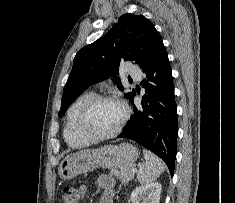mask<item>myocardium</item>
<instances>
[{
  "label": "myocardium",
  "mask_w": 235,
  "mask_h": 203,
  "mask_svg": "<svg viewBox=\"0 0 235 203\" xmlns=\"http://www.w3.org/2000/svg\"><path fill=\"white\" fill-rule=\"evenodd\" d=\"M103 101H112V102H117L121 105L122 109H123V116L119 122V124L117 125V127L112 130L109 133H105V134H96L91 132L90 130L87 129L86 127V122L89 116V113L91 112V110L94 108V106H96L98 103L103 102ZM130 117V109L128 107V105L121 99L114 97L112 95H95L93 96L91 99H89L84 106L82 107V109L80 110L79 114H78V118H77V122H76V129L77 132L85 137L86 139L90 140V141H102V140H107L110 138L115 137L116 135H118L122 129L124 128V126L126 125L128 119Z\"/></svg>",
  "instance_id": "1"
}]
</instances>
